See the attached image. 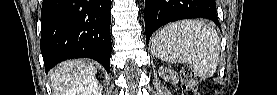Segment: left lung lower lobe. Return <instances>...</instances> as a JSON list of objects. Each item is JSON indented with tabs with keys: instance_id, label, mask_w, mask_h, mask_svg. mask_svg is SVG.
<instances>
[{
	"instance_id": "obj_1",
	"label": "left lung lower lobe",
	"mask_w": 277,
	"mask_h": 95,
	"mask_svg": "<svg viewBox=\"0 0 277 95\" xmlns=\"http://www.w3.org/2000/svg\"><path fill=\"white\" fill-rule=\"evenodd\" d=\"M197 17L208 18L218 25L215 0H145L146 43L162 25Z\"/></svg>"
}]
</instances>
